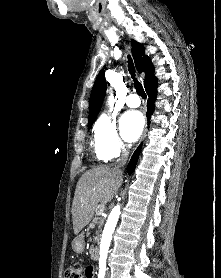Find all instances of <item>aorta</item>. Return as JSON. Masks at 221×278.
<instances>
[{
	"mask_svg": "<svg viewBox=\"0 0 221 278\" xmlns=\"http://www.w3.org/2000/svg\"><path fill=\"white\" fill-rule=\"evenodd\" d=\"M114 101H115V99H114L113 94H110V96L108 97V105H109L110 109L113 108ZM119 215H120V205L118 204L112 209V211L108 217V220L105 224L103 233H102V238H101V243H100V252H99V254H100L99 261L101 263L106 262L109 247H110L111 240H112V235H113V232L117 225Z\"/></svg>",
	"mask_w": 221,
	"mask_h": 278,
	"instance_id": "obj_1",
	"label": "aorta"
}]
</instances>
